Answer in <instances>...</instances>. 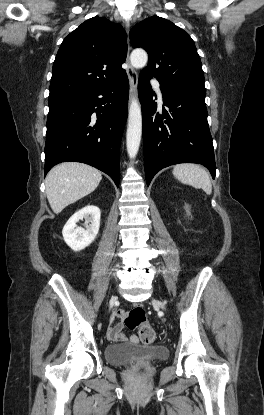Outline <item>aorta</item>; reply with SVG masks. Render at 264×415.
I'll list each match as a JSON object with an SVG mask.
<instances>
[{"mask_svg":"<svg viewBox=\"0 0 264 415\" xmlns=\"http://www.w3.org/2000/svg\"><path fill=\"white\" fill-rule=\"evenodd\" d=\"M130 61L134 68H143L147 61L148 55L143 49H135L130 55ZM142 134V115L141 107L136 98H133L129 107L128 127L126 133L127 153L131 159H134L138 153Z\"/></svg>","mask_w":264,"mask_h":415,"instance_id":"762f6f07","label":"aorta"}]
</instances>
